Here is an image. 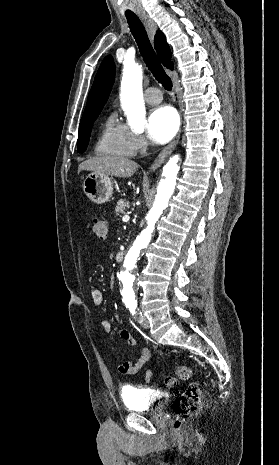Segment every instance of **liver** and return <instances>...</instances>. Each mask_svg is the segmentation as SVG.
I'll return each instance as SVG.
<instances>
[{
  "label": "liver",
  "mask_w": 279,
  "mask_h": 465,
  "mask_svg": "<svg viewBox=\"0 0 279 465\" xmlns=\"http://www.w3.org/2000/svg\"><path fill=\"white\" fill-rule=\"evenodd\" d=\"M138 167L135 161L128 158L103 155L82 162L78 172L87 170L106 176L128 178L137 171Z\"/></svg>",
  "instance_id": "1"
}]
</instances>
